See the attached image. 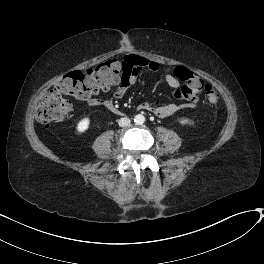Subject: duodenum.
Wrapping results in <instances>:
<instances>
[{"label":"duodenum","mask_w":264,"mask_h":264,"mask_svg":"<svg viewBox=\"0 0 264 264\" xmlns=\"http://www.w3.org/2000/svg\"><path fill=\"white\" fill-rule=\"evenodd\" d=\"M105 105H106V108H107L110 112H112V113H114V114H117V115H121V114H123V111H122L120 108L116 107L114 104L106 103Z\"/></svg>","instance_id":"duodenum-1"}]
</instances>
